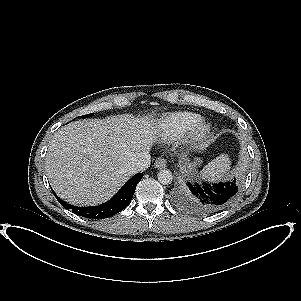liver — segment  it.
Wrapping results in <instances>:
<instances>
[{
  "mask_svg": "<svg viewBox=\"0 0 301 301\" xmlns=\"http://www.w3.org/2000/svg\"><path fill=\"white\" fill-rule=\"evenodd\" d=\"M157 137L153 123L126 116L72 122L54 134L48 147L50 184L73 205L101 204L134 174L131 166L149 153Z\"/></svg>",
  "mask_w": 301,
  "mask_h": 301,
  "instance_id": "obj_1",
  "label": "liver"
}]
</instances>
